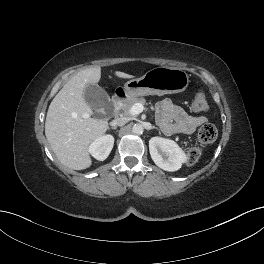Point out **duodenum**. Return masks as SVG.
<instances>
[{
    "label": "duodenum",
    "mask_w": 264,
    "mask_h": 264,
    "mask_svg": "<svg viewBox=\"0 0 264 264\" xmlns=\"http://www.w3.org/2000/svg\"><path fill=\"white\" fill-rule=\"evenodd\" d=\"M123 97H124V92L122 91H119L112 96L111 102H110V114L112 116L117 114L120 102L123 99Z\"/></svg>",
    "instance_id": "1"
}]
</instances>
